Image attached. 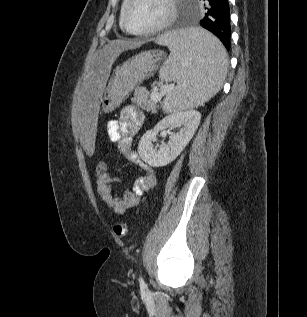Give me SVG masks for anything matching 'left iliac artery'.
I'll return each mask as SVG.
<instances>
[{
  "mask_svg": "<svg viewBox=\"0 0 307 317\" xmlns=\"http://www.w3.org/2000/svg\"><path fill=\"white\" fill-rule=\"evenodd\" d=\"M139 282H140V286H141L142 288H145V287H146V283L144 282V280H143L142 277H140Z\"/></svg>",
  "mask_w": 307,
  "mask_h": 317,
  "instance_id": "1",
  "label": "left iliac artery"
}]
</instances>
